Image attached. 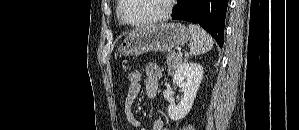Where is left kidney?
I'll return each instance as SVG.
<instances>
[{
	"instance_id": "5707ae66",
	"label": "left kidney",
	"mask_w": 299,
	"mask_h": 130,
	"mask_svg": "<svg viewBox=\"0 0 299 130\" xmlns=\"http://www.w3.org/2000/svg\"><path fill=\"white\" fill-rule=\"evenodd\" d=\"M202 78L203 67L200 64L185 61L178 66L173 76V83L183 89L184 97L178 105L168 106V115L171 120L178 121L190 112Z\"/></svg>"
}]
</instances>
